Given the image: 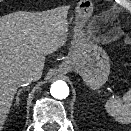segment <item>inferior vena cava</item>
Instances as JSON below:
<instances>
[{
  "mask_svg": "<svg viewBox=\"0 0 131 131\" xmlns=\"http://www.w3.org/2000/svg\"><path fill=\"white\" fill-rule=\"evenodd\" d=\"M34 80H38V77L33 72H30L20 78L19 86H27Z\"/></svg>",
  "mask_w": 131,
  "mask_h": 131,
  "instance_id": "inferior-vena-cava-1",
  "label": "inferior vena cava"
}]
</instances>
